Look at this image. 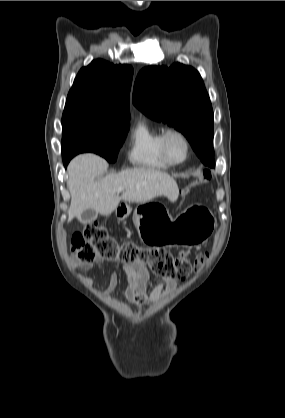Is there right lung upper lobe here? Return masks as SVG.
Returning <instances> with one entry per match:
<instances>
[{
	"label": "right lung upper lobe",
	"instance_id": "cb5924a9",
	"mask_svg": "<svg viewBox=\"0 0 285 418\" xmlns=\"http://www.w3.org/2000/svg\"><path fill=\"white\" fill-rule=\"evenodd\" d=\"M133 68L94 60L77 74L64 113L101 117L129 124V94Z\"/></svg>",
	"mask_w": 285,
	"mask_h": 418
}]
</instances>
